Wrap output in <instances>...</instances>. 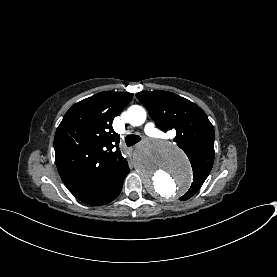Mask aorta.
Listing matches in <instances>:
<instances>
[{"instance_id": "1", "label": "aorta", "mask_w": 277, "mask_h": 277, "mask_svg": "<svg viewBox=\"0 0 277 277\" xmlns=\"http://www.w3.org/2000/svg\"><path fill=\"white\" fill-rule=\"evenodd\" d=\"M146 120V111L139 105L127 111V121L140 126ZM135 167L146 188L155 198L169 201L186 191L192 182L188 160L174 144L162 140H144L135 152Z\"/></svg>"}]
</instances>
